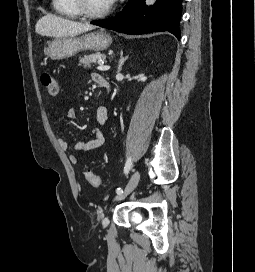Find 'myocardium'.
Segmentation results:
<instances>
[{"label": "myocardium", "instance_id": "1", "mask_svg": "<svg viewBox=\"0 0 255 272\" xmlns=\"http://www.w3.org/2000/svg\"><path fill=\"white\" fill-rule=\"evenodd\" d=\"M74 1L78 11L84 17L93 18V19L103 18L109 15L112 11V6H110L108 9L102 12H93L88 8L86 0H74Z\"/></svg>", "mask_w": 255, "mask_h": 272}]
</instances>
